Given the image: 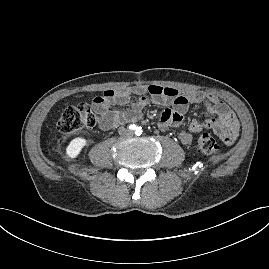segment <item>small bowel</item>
Returning <instances> with one entry per match:
<instances>
[{
    "mask_svg": "<svg viewBox=\"0 0 269 269\" xmlns=\"http://www.w3.org/2000/svg\"><path fill=\"white\" fill-rule=\"evenodd\" d=\"M137 96L134 102L131 97ZM170 106L165 109L159 119L158 127L165 131L170 127L179 128L190 104L204 106L208 117L203 120H192L188 131L179 132V140L184 145L192 143V134L202 130H212L225 144H233L239 134V122L232 110L218 97L204 92L191 91L185 94L171 87L157 85L133 86L126 89H107L102 95L93 99V108L100 115V128L110 130L126 122L136 121L142 110L149 104ZM130 104L125 111L113 109L116 105Z\"/></svg>",
    "mask_w": 269,
    "mask_h": 269,
    "instance_id": "c3829d8e",
    "label": "small bowel"
}]
</instances>
